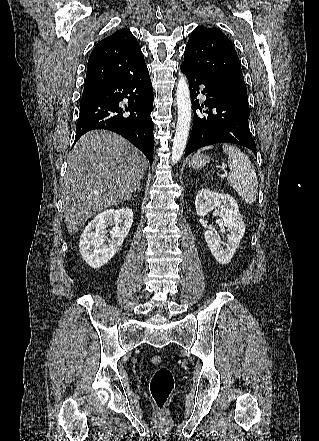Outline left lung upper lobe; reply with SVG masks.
I'll return each mask as SVG.
<instances>
[{
	"mask_svg": "<svg viewBox=\"0 0 319 441\" xmlns=\"http://www.w3.org/2000/svg\"><path fill=\"white\" fill-rule=\"evenodd\" d=\"M183 63L223 82L248 101L238 55L232 42L219 29L198 26L189 37Z\"/></svg>",
	"mask_w": 319,
	"mask_h": 441,
	"instance_id": "obj_1",
	"label": "left lung upper lobe"
}]
</instances>
